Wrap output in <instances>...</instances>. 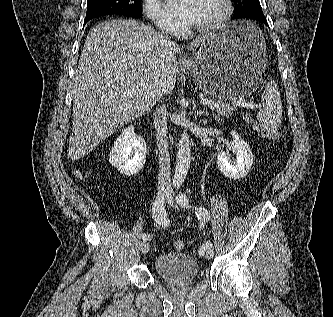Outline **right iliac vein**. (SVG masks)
<instances>
[{"mask_svg": "<svg viewBox=\"0 0 333 317\" xmlns=\"http://www.w3.org/2000/svg\"><path fill=\"white\" fill-rule=\"evenodd\" d=\"M160 194H162V192H161ZM166 196H167L166 194H165V195L162 194V199L166 198ZM140 249H141V252H142L143 254H146V253L149 251V249H150V244H149V242H148V241H143V242L141 243Z\"/></svg>", "mask_w": 333, "mask_h": 317, "instance_id": "obj_1", "label": "right iliac vein"}]
</instances>
